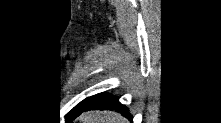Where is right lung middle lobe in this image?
Segmentation results:
<instances>
[{"label": "right lung middle lobe", "mask_w": 221, "mask_h": 123, "mask_svg": "<svg viewBox=\"0 0 221 123\" xmlns=\"http://www.w3.org/2000/svg\"><path fill=\"white\" fill-rule=\"evenodd\" d=\"M92 98H93V96L83 100L82 102H80L77 106H75L68 113V115L70 117H73V116L75 117V116L79 115L83 111V109L92 101Z\"/></svg>", "instance_id": "obj_1"}]
</instances>
